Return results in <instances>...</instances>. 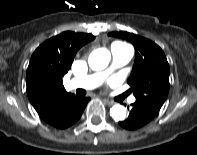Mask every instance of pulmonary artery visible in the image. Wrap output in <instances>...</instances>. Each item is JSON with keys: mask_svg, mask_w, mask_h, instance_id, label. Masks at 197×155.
<instances>
[{"mask_svg": "<svg viewBox=\"0 0 197 155\" xmlns=\"http://www.w3.org/2000/svg\"><path fill=\"white\" fill-rule=\"evenodd\" d=\"M111 55H112V66L109 70L101 73H96L92 75H85L81 77H76L70 80L68 83V87L70 89H93L98 86L102 80L106 77V75L114 68H118L126 65L131 58L133 57V50L130 46L114 43L111 46ZM135 97H131L129 99L130 103L135 102Z\"/></svg>", "mask_w": 197, "mask_h": 155, "instance_id": "pulmonary-artery-1", "label": "pulmonary artery"}]
</instances>
